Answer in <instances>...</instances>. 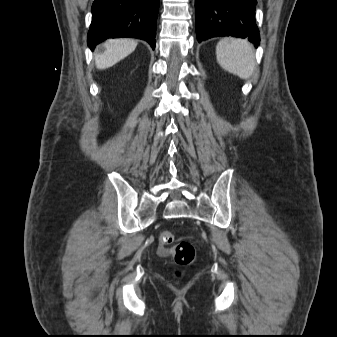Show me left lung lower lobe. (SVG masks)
<instances>
[{"label":"left lung lower lobe","instance_id":"1","mask_svg":"<svg viewBox=\"0 0 337 337\" xmlns=\"http://www.w3.org/2000/svg\"><path fill=\"white\" fill-rule=\"evenodd\" d=\"M256 0H195L198 42L215 36L248 38L260 43L255 23Z\"/></svg>","mask_w":337,"mask_h":337}]
</instances>
